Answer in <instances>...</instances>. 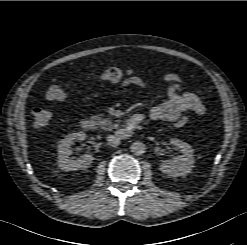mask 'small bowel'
<instances>
[{"label": "small bowel", "mask_w": 247, "mask_h": 245, "mask_svg": "<svg viewBox=\"0 0 247 245\" xmlns=\"http://www.w3.org/2000/svg\"><path fill=\"white\" fill-rule=\"evenodd\" d=\"M164 81L169 85L167 87L168 98L162 104L153 107L150 111L152 120H161L174 122L177 121L185 112H193L203 115L206 112L205 105L200 98L182 87L181 78L173 73L164 75ZM122 87L137 86L143 89H149L150 83L143 75H134L120 81ZM145 121V117L140 115Z\"/></svg>", "instance_id": "c3829d8e"}]
</instances>
